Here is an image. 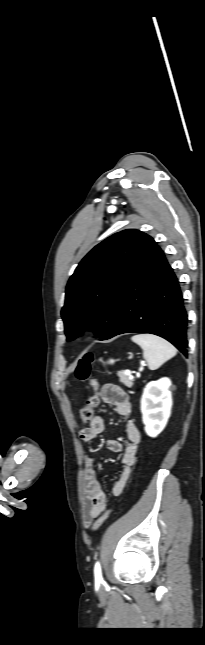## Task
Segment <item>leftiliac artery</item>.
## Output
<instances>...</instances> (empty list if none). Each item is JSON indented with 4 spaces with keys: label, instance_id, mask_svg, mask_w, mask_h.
<instances>
[{
    "label": "left iliac artery",
    "instance_id": "obj_1",
    "mask_svg": "<svg viewBox=\"0 0 205 645\" xmlns=\"http://www.w3.org/2000/svg\"><path fill=\"white\" fill-rule=\"evenodd\" d=\"M94 576L96 581H102V572L100 563L97 561L94 566Z\"/></svg>",
    "mask_w": 205,
    "mask_h": 645
}]
</instances>
